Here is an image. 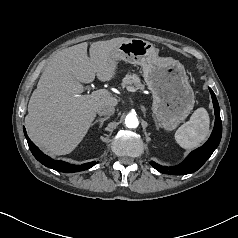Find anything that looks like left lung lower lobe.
Wrapping results in <instances>:
<instances>
[{
	"label": "left lung lower lobe",
	"instance_id": "obj_1",
	"mask_svg": "<svg viewBox=\"0 0 238 238\" xmlns=\"http://www.w3.org/2000/svg\"><path fill=\"white\" fill-rule=\"evenodd\" d=\"M209 91L211 93L215 110V125L210 138L203 146L191 152L181 164L175 167H165L155 162H151V165L159 172L170 175H185L193 173L207 161L219 145L222 135L220 108L214 92L211 88H209Z\"/></svg>",
	"mask_w": 238,
	"mask_h": 238
}]
</instances>
